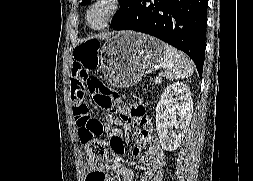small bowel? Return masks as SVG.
Masks as SVG:
<instances>
[{"label":"small bowel","instance_id":"c3829d8e","mask_svg":"<svg viewBox=\"0 0 253 181\" xmlns=\"http://www.w3.org/2000/svg\"><path fill=\"white\" fill-rule=\"evenodd\" d=\"M92 68L86 67L82 63H75L72 69L71 96L73 100V113L75 115L76 98L86 91L87 83L90 79ZM120 118L113 124L112 131L109 133L111 145L116 153V157L107 159L102 167H92L89 163L85 165L86 181H112L108 172L120 175L123 181H133L139 170H145L139 181H152L156 173L165 165V155L161 149L157 137L152 133V126L145 117V109L141 102L130 106L122 105L118 102ZM131 124L140 128L132 155L136 158L141 157L140 163L135 169L125 167L119 156L123 152V145L120 140L123 128ZM147 147V152L142 155V148Z\"/></svg>","mask_w":253,"mask_h":181}]
</instances>
